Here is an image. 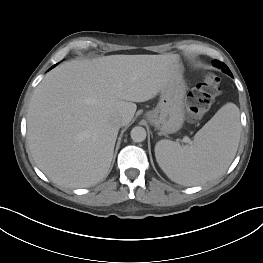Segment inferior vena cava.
<instances>
[{
    "label": "inferior vena cava",
    "mask_w": 263,
    "mask_h": 263,
    "mask_svg": "<svg viewBox=\"0 0 263 263\" xmlns=\"http://www.w3.org/2000/svg\"><path fill=\"white\" fill-rule=\"evenodd\" d=\"M112 122L118 127H121L124 125V119L121 116L114 117L112 119Z\"/></svg>",
    "instance_id": "obj_1"
}]
</instances>
